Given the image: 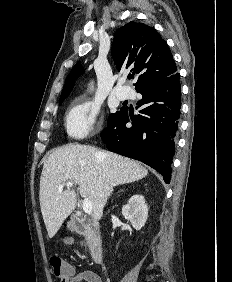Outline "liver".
Returning <instances> with one entry per match:
<instances>
[{
	"label": "liver",
	"instance_id": "6515ba94",
	"mask_svg": "<svg viewBox=\"0 0 232 282\" xmlns=\"http://www.w3.org/2000/svg\"><path fill=\"white\" fill-rule=\"evenodd\" d=\"M147 174L139 163L92 146L69 144L56 149L45 160L40 178L39 200L49 238L54 237L77 203L75 190L60 192V184H77L99 220L115 186L138 181Z\"/></svg>",
	"mask_w": 232,
	"mask_h": 282
}]
</instances>
